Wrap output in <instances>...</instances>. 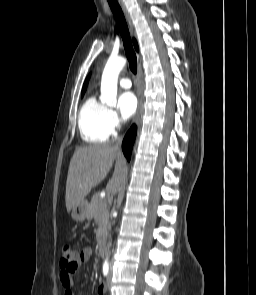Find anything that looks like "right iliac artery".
<instances>
[{"instance_id": "1", "label": "right iliac artery", "mask_w": 256, "mask_h": 295, "mask_svg": "<svg viewBox=\"0 0 256 295\" xmlns=\"http://www.w3.org/2000/svg\"><path fill=\"white\" fill-rule=\"evenodd\" d=\"M109 272V264L108 263H104L103 264V274L104 276H107Z\"/></svg>"}]
</instances>
